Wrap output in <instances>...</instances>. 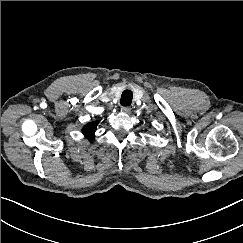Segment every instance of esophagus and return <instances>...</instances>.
Listing matches in <instances>:
<instances>
[{
	"label": "esophagus",
	"mask_w": 243,
	"mask_h": 243,
	"mask_svg": "<svg viewBox=\"0 0 243 243\" xmlns=\"http://www.w3.org/2000/svg\"><path fill=\"white\" fill-rule=\"evenodd\" d=\"M121 111L124 113H129L131 111V108L129 106H122Z\"/></svg>",
	"instance_id": "1"
}]
</instances>
